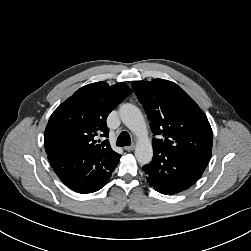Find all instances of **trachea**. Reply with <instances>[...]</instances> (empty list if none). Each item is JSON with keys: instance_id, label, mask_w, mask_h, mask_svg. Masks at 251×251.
<instances>
[{"instance_id": "obj_1", "label": "trachea", "mask_w": 251, "mask_h": 251, "mask_svg": "<svg viewBox=\"0 0 251 251\" xmlns=\"http://www.w3.org/2000/svg\"><path fill=\"white\" fill-rule=\"evenodd\" d=\"M131 144V138L128 132L123 131L117 138V146H129Z\"/></svg>"}]
</instances>
